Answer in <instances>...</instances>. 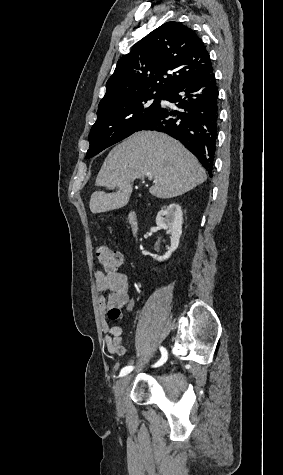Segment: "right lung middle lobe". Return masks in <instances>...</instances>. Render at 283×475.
<instances>
[{"label": "right lung middle lobe", "instance_id": "right-lung-middle-lobe-1", "mask_svg": "<svg viewBox=\"0 0 283 475\" xmlns=\"http://www.w3.org/2000/svg\"><path fill=\"white\" fill-rule=\"evenodd\" d=\"M167 93H146L125 101L98 107L97 120L89 134L90 158L107 147L125 139L160 109V100ZM152 99H155L151 102Z\"/></svg>", "mask_w": 283, "mask_h": 475}]
</instances>
